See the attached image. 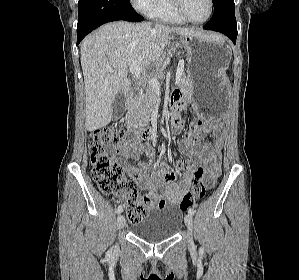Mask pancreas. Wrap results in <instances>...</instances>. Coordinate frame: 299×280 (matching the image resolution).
I'll return each mask as SVG.
<instances>
[{"label":"pancreas","instance_id":"pancreas-1","mask_svg":"<svg viewBox=\"0 0 299 280\" xmlns=\"http://www.w3.org/2000/svg\"><path fill=\"white\" fill-rule=\"evenodd\" d=\"M190 84L189 77L183 73L179 81L180 88L190 91ZM157 101L158 93L152 87H147L144 93L137 95L129 106L132 123L137 126H146L149 121L148 115L152 112Z\"/></svg>","mask_w":299,"mask_h":280}]
</instances>
